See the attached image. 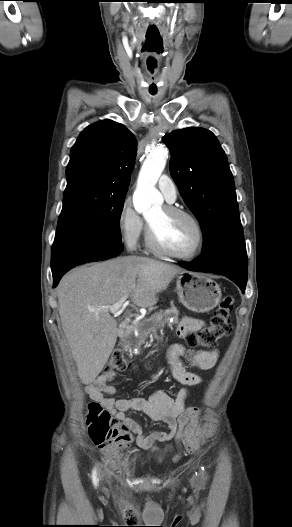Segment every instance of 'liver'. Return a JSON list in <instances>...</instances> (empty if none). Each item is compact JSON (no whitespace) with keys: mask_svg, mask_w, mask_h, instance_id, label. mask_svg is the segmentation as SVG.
Returning <instances> with one entry per match:
<instances>
[{"mask_svg":"<svg viewBox=\"0 0 292 527\" xmlns=\"http://www.w3.org/2000/svg\"><path fill=\"white\" fill-rule=\"evenodd\" d=\"M182 271L155 259L124 256L77 267L61 279L57 296L62 329L83 384L96 379L116 344L117 322L103 309L125 295L134 305L151 307Z\"/></svg>","mask_w":292,"mask_h":527,"instance_id":"6515ba94","label":"liver"}]
</instances>
